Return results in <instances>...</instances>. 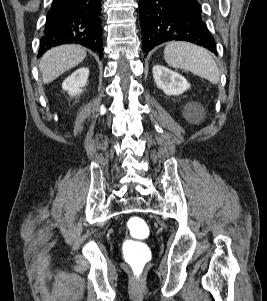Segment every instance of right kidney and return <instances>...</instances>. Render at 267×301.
<instances>
[{
	"label": "right kidney",
	"instance_id": "right-kidney-1",
	"mask_svg": "<svg viewBox=\"0 0 267 301\" xmlns=\"http://www.w3.org/2000/svg\"><path fill=\"white\" fill-rule=\"evenodd\" d=\"M88 76V68L83 67L76 70L74 73H72V75L63 81V90L68 91L69 95L71 96H76L82 93V88L87 84Z\"/></svg>",
	"mask_w": 267,
	"mask_h": 301
}]
</instances>
